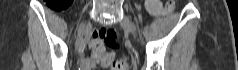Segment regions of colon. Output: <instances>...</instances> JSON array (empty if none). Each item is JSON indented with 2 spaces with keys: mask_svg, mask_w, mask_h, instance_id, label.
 <instances>
[{
  "mask_svg": "<svg viewBox=\"0 0 238 70\" xmlns=\"http://www.w3.org/2000/svg\"><path fill=\"white\" fill-rule=\"evenodd\" d=\"M70 4V0H50L51 8L56 11L66 9ZM173 2L162 8L159 0H148L146 2L147 9L155 14L167 13L171 10ZM117 33L110 28H99L93 33V39L91 47L93 51L102 57V65L110 66L112 70H127V62L124 59L112 60L111 55L105 53V46L116 48L118 44L116 42ZM110 56V57H108Z\"/></svg>",
  "mask_w": 238,
  "mask_h": 70,
  "instance_id": "obj_1",
  "label": "colon"
}]
</instances>
